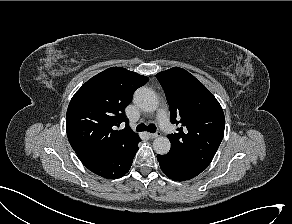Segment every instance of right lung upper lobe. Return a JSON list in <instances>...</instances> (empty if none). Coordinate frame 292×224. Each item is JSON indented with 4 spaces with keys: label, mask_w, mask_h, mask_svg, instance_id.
<instances>
[{
    "label": "right lung upper lobe",
    "mask_w": 292,
    "mask_h": 224,
    "mask_svg": "<svg viewBox=\"0 0 292 224\" xmlns=\"http://www.w3.org/2000/svg\"><path fill=\"white\" fill-rule=\"evenodd\" d=\"M149 78L122 67H112L88 80L72 97L66 131L74 150H125L140 138L131 131L124 109L135 90ZM122 130H116L120 124Z\"/></svg>",
    "instance_id": "right-lung-upper-lobe-1"
}]
</instances>
